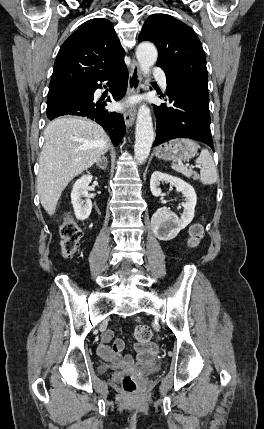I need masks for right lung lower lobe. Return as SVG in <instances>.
I'll use <instances>...</instances> for the list:
<instances>
[{"mask_svg": "<svg viewBox=\"0 0 264 429\" xmlns=\"http://www.w3.org/2000/svg\"><path fill=\"white\" fill-rule=\"evenodd\" d=\"M106 80L111 82L110 92L112 97L116 101L120 100L126 92L128 81V71L123 59L99 77L85 84L84 88L67 94L47 105L48 119L53 120L62 115L88 117L100 124L104 130H109L110 139L115 146L118 145L125 134L123 116L116 112H110L105 108L106 102L111 101L110 98H107V101L94 98L95 90L101 88V84L97 82Z\"/></svg>", "mask_w": 264, "mask_h": 429, "instance_id": "obj_1", "label": "right lung lower lobe"}]
</instances>
